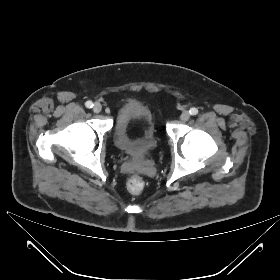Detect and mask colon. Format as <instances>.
I'll use <instances>...</instances> for the list:
<instances>
[{
	"label": "colon",
	"mask_w": 280,
	"mask_h": 280,
	"mask_svg": "<svg viewBox=\"0 0 280 280\" xmlns=\"http://www.w3.org/2000/svg\"><path fill=\"white\" fill-rule=\"evenodd\" d=\"M144 188H145L144 180L137 175L130 177L129 180L127 181V189L132 194L135 195L140 194L142 193Z\"/></svg>",
	"instance_id": "obj_1"
}]
</instances>
